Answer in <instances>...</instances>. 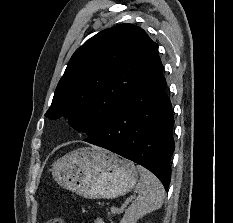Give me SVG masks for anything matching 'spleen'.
I'll return each mask as SVG.
<instances>
[{"instance_id": "obj_1", "label": "spleen", "mask_w": 233, "mask_h": 223, "mask_svg": "<svg viewBox=\"0 0 233 223\" xmlns=\"http://www.w3.org/2000/svg\"><path fill=\"white\" fill-rule=\"evenodd\" d=\"M140 179L135 187L139 193L132 205L126 209L120 223H136L140 217L159 209L165 199L164 187L158 177L139 165Z\"/></svg>"}]
</instances>
